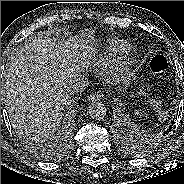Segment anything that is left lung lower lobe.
<instances>
[{
  "label": "left lung lower lobe",
  "instance_id": "1",
  "mask_svg": "<svg viewBox=\"0 0 184 184\" xmlns=\"http://www.w3.org/2000/svg\"><path fill=\"white\" fill-rule=\"evenodd\" d=\"M169 130H170V129H167L162 135L164 136V135L168 134V133H169ZM148 138L151 139V140L158 139V138H156L155 136H154V137L149 136Z\"/></svg>",
  "mask_w": 184,
  "mask_h": 184
}]
</instances>
